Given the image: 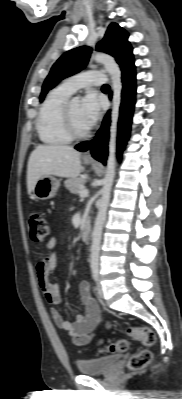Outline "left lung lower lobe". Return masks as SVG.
<instances>
[{
  "instance_id": "1",
  "label": "left lung lower lobe",
  "mask_w": 182,
  "mask_h": 399,
  "mask_svg": "<svg viewBox=\"0 0 182 399\" xmlns=\"http://www.w3.org/2000/svg\"><path fill=\"white\" fill-rule=\"evenodd\" d=\"M136 73L135 67H131L122 72V103L120 106V117L118 123V157L121 156L124 146L129 138L130 125L133 116V109L135 105V85ZM111 97V95H110ZM109 125H110V112L104 117L103 123L97 136L91 142H83L75 147L79 151H86L91 149L92 156L106 164L107 159V144L109 137Z\"/></svg>"
}]
</instances>
